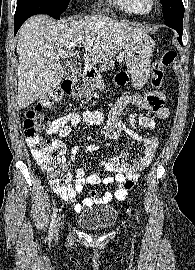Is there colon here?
<instances>
[{
  "label": "colon",
  "instance_id": "1",
  "mask_svg": "<svg viewBox=\"0 0 195 270\" xmlns=\"http://www.w3.org/2000/svg\"><path fill=\"white\" fill-rule=\"evenodd\" d=\"M176 52L168 49L153 63L151 85L155 89L144 97L146 108H158L165 104V95L160 89L164 82V70L176 59ZM65 96L76 99H84L89 96V90L82 77H75L65 82L61 87L45 95L40 102L24 115V134L31 152L47 175L53 189L58 193H68L71 189V176L67 173L64 159L65 145L59 140H51L40 134L41 131H49L50 120L43 114V108H51L59 104ZM137 179H127L122 188L131 190Z\"/></svg>",
  "mask_w": 195,
  "mask_h": 270
}]
</instances>
